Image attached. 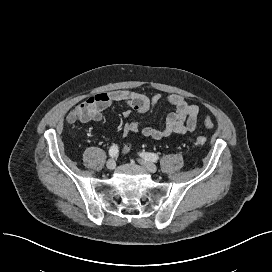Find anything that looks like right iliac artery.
<instances>
[{"instance_id": "obj_1", "label": "right iliac artery", "mask_w": 272, "mask_h": 272, "mask_svg": "<svg viewBox=\"0 0 272 272\" xmlns=\"http://www.w3.org/2000/svg\"><path fill=\"white\" fill-rule=\"evenodd\" d=\"M118 146L117 145H112L111 147H110V149H109V156L110 157H116L117 156V154H118Z\"/></svg>"}]
</instances>
